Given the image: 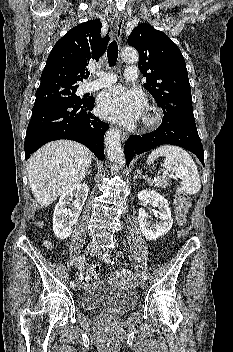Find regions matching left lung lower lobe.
<instances>
[{"mask_svg": "<svg viewBox=\"0 0 233 352\" xmlns=\"http://www.w3.org/2000/svg\"><path fill=\"white\" fill-rule=\"evenodd\" d=\"M180 146L194 153L204 166V151L195 122L173 121L163 118L159 128L143 135H131L124 147L127 166L135 155L149 151L159 145Z\"/></svg>", "mask_w": 233, "mask_h": 352, "instance_id": "obj_1", "label": "left lung lower lobe"}]
</instances>
